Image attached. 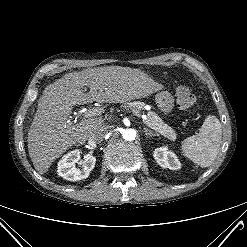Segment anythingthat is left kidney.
<instances>
[{
	"mask_svg": "<svg viewBox=\"0 0 247 247\" xmlns=\"http://www.w3.org/2000/svg\"><path fill=\"white\" fill-rule=\"evenodd\" d=\"M153 156L156 162L163 168H169L170 170H178L181 168V163L177 156L168 151L167 147L156 148Z\"/></svg>",
	"mask_w": 247,
	"mask_h": 247,
	"instance_id": "1",
	"label": "left kidney"
}]
</instances>
